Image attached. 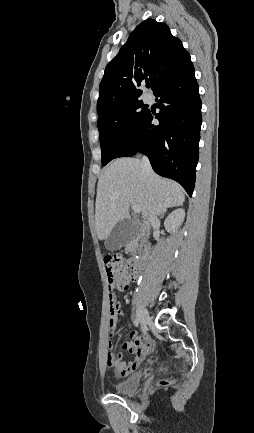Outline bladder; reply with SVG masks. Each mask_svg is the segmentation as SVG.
<instances>
[{"label": "bladder", "instance_id": "31cf9c89", "mask_svg": "<svg viewBox=\"0 0 254 433\" xmlns=\"http://www.w3.org/2000/svg\"><path fill=\"white\" fill-rule=\"evenodd\" d=\"M142 375L135 374L123 381L115 383L113 389L118 394H131L138 390L141 383Z\"/></svg>", "mask_w": 254, "mask_h": 433}]
</instances>
